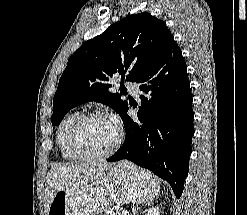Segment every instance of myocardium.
Segmentation results:
<instances>
[{
	"mask_svg": "<svg viewBox=\"0 0 247 215\" xmlns=\"http://www.w3.org/2000/svg\"><path fill=\"white\" fill-rule=\"evenodd\" d=\"M92 119H107V116L100 111H90L87 113L80 114L71 126L69 132V145L72 153L81 160L86 161H101L112 156L119 148L122 141L121 131L117 130V135L114 143L111 147L102 153H89L85 151L79 139L80 129L85 122Z\"/></svg>",
	"mask_w": 247,
	"mask_h": 215,
	"instance_id": "myocardium-1",
	"label": "myocardium"
}]
</instances>
